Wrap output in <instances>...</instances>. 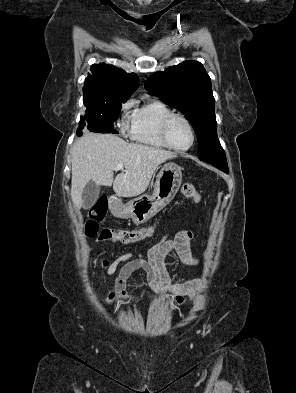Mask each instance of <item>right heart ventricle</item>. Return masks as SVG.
I'll list each match as a JSON object with an SVG mask.
<instances>
[{
  "mask_svg": "<svg viewBox=\"0 0 296 393\" xmlns=\"http://www.w3.org/2000/svg\"><path fill=\"white\" fill-rule=\"evenodd\" d=\"M172 113L163 102L150 100L137 108L132 115L130 136L145 146L169 148L162 140L160 130L163 120Z\"/></svg>",
  "mask_w": 296,
  "mask_h": 393,
  "instance_id": "1",
  "label": "right heart ventricle"
}]
</instances>
